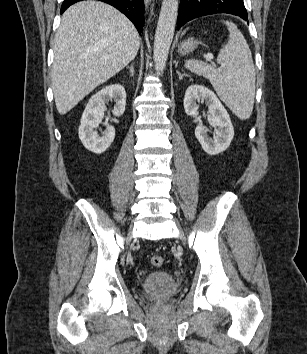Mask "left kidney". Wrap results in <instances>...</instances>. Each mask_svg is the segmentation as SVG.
Instances as JSON below:
<instances>
[{"label":"left kidney","instance_id":"5707ae66","mask_svg":"<svg viewBox=\"0 0 307 354\" xmlns=\"http://www.w3.org/2000/svg\"><path fill=\"white\" fill-rule=\"evenodd\" d=\"M200 100L205 101L208 105L211 124L216 130L212 139L207 135L205 127L199 124L195 129V136L206 153L216 155L229 147L234 136V128L227 110L218 97L213 91L202 85H191L187 88L184 97V109L187 115H198L197 102Z\"/></svg>","mask_w":307,"mask_h":354}]
</instances>
